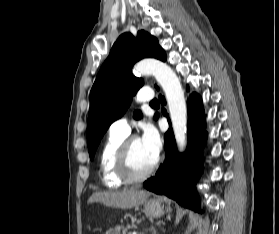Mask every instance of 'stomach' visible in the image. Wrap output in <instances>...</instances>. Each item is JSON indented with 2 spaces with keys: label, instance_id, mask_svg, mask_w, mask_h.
<instances>
[{
  "label": "stomach",
  "instance_id": "1",
  "mask_svg": "<svg viewBox=\"0 0 279 234\" xmlns=\"http://www.w3.org/2000/svg\"><path fill=\"white\" fill-rule=\"evenodd\" d=\"M144 212L148 217L158 218L164 214V206L160 201L150 199L144 205ZM121 227L117 226L112 234H117ZM110 234V233H108Z\"/></svg>",
  "mask_w": 279,
  "mask_h": 234
}]
</instances>
